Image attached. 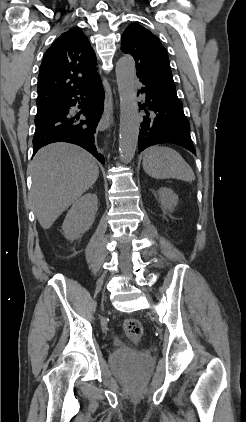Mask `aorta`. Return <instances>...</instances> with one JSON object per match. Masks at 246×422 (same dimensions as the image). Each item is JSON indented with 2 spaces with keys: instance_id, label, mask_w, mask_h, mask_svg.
<instances>
[{
  "instance_id": "762f6f07",
  "label": "aorta",
  "mask_w": 246,
  "mask_h": 422,
  "mask_svg": "<svg viewBox=\"0 0 246 422\" xmlns=\"http://www.w3.org/2000/svg\"><path fill=\"white\" fill-rule=\"evenodd\" d=\"M135 62L121 57L116 64V79L120 97L119 151L124 163L132 161L138 144L140 116L135 91Z\"/></svg>"
}]
</instances>
